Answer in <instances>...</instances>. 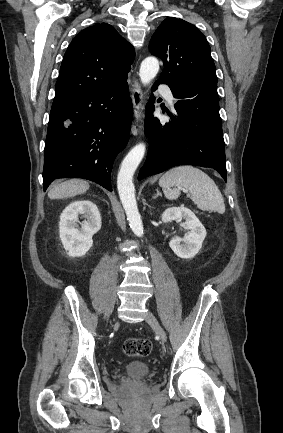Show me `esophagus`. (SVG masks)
<instances>
[{"mask_svg":"<svg viewBox=\"0 0 283 433\" xmlns=\"http://www.w3.org/2000/svg\"><path fill=\"white\" fill-rule=\"evenodd\" d=\"M132 102L135 120L137 123L141 122L143 119V91L141 86L139 85L138 80H135L132 89Z\"/></svg>","mask_w":283,"mask_h":433,"instance_id":"obj_1","label":"esophagus"}]
</instances>
